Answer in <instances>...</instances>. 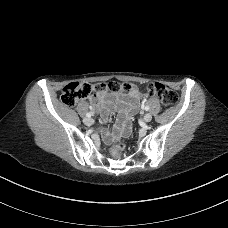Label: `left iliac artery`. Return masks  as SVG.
<instances>
[{
  "label": "left iliac artery",
  "mask_w": 228,
  "mask_h": 228,
  "mask_svg": "<svg viewBox=\"0 0 228 228\" xmlns=\"http://www.w3.org/2000/svg\"><path fill=\"white\" fill-rule=\"evenodd\" d=\"M146 111H148L149 110V106H145V108H144Z\"/></svg>",
  "instance_id": "obj_1"
}]
</instances>
